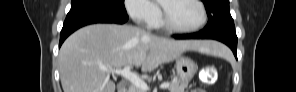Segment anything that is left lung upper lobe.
<instances>
[{
	"mask_svg": "<svg viewBox=\"0 0 296 92\" xmlns=\"http://www.w3.org/2000/svg\"><path fill=\"white\" fill-rule=\"evenodd\" d=\"M209 20L202 30L207 35L222 32L235 33L234 21L230 14L229 0H202Z\"/></svg>",
	"mask_w": 296,
	"mask_h": 92,
	"instance_id": "1",
	"label": "left lung upper lobe"
}]
</instances>
